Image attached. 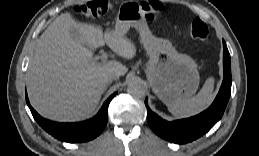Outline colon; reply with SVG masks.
<instances>
[{
    "mask_svg": "<svg viewBox=\"0 0 259 156\" xmlns=\"http://www.w3.org/2000/svg\"><path fill=\"white\" fill-rule=\"evenodd\" d=\"M112 9V4L108 0H94L76 7V12L84 17L99 18L105 16ZM146 17L150 20L158 17L162 11L160 3L150 0L143 4ZM190 32L194 38L204 42L208 37V27L206 23L200 19H195L191 26Z\"/></svg>",
    "mask_w": 259,
    "mask_h": 156,
    "instance_id": "5ec220e1",
    "label": "colon"
}]
</instances>
